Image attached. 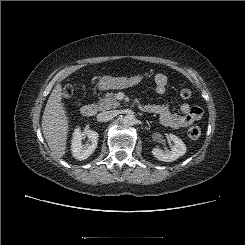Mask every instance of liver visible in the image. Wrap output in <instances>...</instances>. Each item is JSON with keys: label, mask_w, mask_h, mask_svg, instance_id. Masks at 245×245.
I'll use <instances>...</instances> for the list:
<instances>
[{"label": "liver", "mask_w": 245, "mask_h": 245, "mask_svg": "<svg viewBox=\"0 0 245 245\" xmlns=\"http://www.w3.org/2000/svg\"><path fill=\"white\" fill-rule=\"evenodd\" d=\"M68 123L66 109L62 103V86L57 84L48 98L42 116L43 135L56 159L65 155Z\"/></svg>", "instance_id": "6515ba94"}]
</instances>
